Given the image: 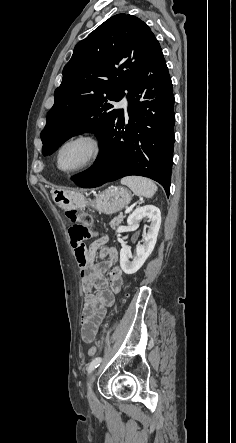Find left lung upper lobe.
<instances>
[{"label":"left lung upper lobe","instance_id":"obj_1","mask_svg":"<svg viewBox=\"0 0 236 443\" xmlns=\"http://www.w3.org/2000/svg\"><path fill=\"white\" fill-rule=\"evenodd\" d=\"M157 44L146 23L129 14L110 17L80 41L41 132L43 155L83 132L100 136L118 112L111 102L122 99Z\"/></svg>","mask_w":236,"mask_h":443}]
</instances>
